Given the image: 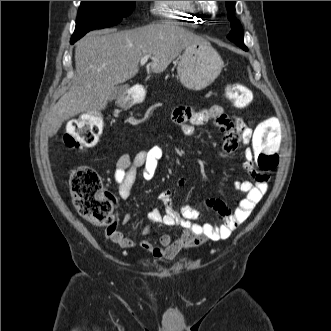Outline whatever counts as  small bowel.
<instances>
[{
	"label": "small bowel",
	"instance_id": "small-bowel-1",
	"mask_svg": "<svg viewBox=\"0 0 331 331\" xmlns=\"http://www.w3.org/2000/svg\"><path fill=\"white\" fill-rule=\"evenodd\" d=\"M173 120L188 136L194 134L197 126L213 121L215 126L225 135L222 150L226 154L233 153L240 143L245 145L243 166L251 176L252 181L234 182L235 188L246 194V197L239 202L234 211H231L220 200L206 199L204 201L206 208L217 212L221 217L222 224L219 226L199 222L201 214L198 210L188 205L177 208L172 202V191L170 189L162 191L159 199L163 203L165 211L162 212L158 208H154L149 212V219L154 224L179 226L183 229L182 234L175 240L168 234H161L157 241L145 238L140 241V247L156 258L166 259H173L181 250L197 247L208 240L227 239L251 215L267 192L269 181V175L254 166V152L250 147L253 139L251 126L241 119H231L223 107L213 105L200 111L187 106L178 107L173 112ZM163 155V148L160 145H155L150 149L137 152L134 156L124 154L119 158L114 170V180L118 185L121 199L127 200L131 196L138 169H142V176L145 180H151L154 177L158 162ZM182 184H184V179L180 178L178 185ZM132 218V214L127 213L124 215L122 223L129 224ZM149 231V227H145L142 234L147 235ZM106 237L110 242L123 249H132L136 245L131 238H128L115 227L107 230Z\"/></svg>",
	"mask_w": 331,
	"mask_h": 331
}]
</instances>
